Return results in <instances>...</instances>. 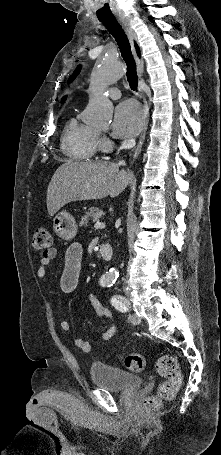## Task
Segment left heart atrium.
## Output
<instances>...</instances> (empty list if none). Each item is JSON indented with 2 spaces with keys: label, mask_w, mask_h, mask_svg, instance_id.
<instances>
[{
  "label": "left heart atrium",
  "mask_w": 221,
  "mask_h": 455,
  "mask_svg": "<svg viewBox=\"0 0 221 455\" xmlns=\"http://www.w3.org/2000/svg\"><path fill=\"white\" fill-rule=\"evenodd\" d=\"M143 122L144 114L137 103L130 100L122 102L114 112L113 134L120 138L132 137L141 130Z\"/></svg>",
  "instance_id": "obj_1"
}]
</instances>
